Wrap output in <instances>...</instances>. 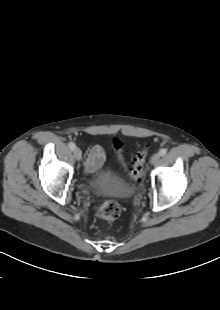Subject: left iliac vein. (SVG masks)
<instances>
[{
  "label": "left iliac vein",
  "instance_id": "obj_1",
  "mask_svg": "<svg viewBox=\"0 0 220 310\" xmlns=\"http://www.w3.org/2000/svg\"><path fill=\"white\" fill-rule=\"evenodd\" d=\"M159 160H160V154L156 153L151 158V164L156 165L159 162Z\"/></svg>",
  "mask_w": 220,
  "mask_h": 310
}]
</instances>
